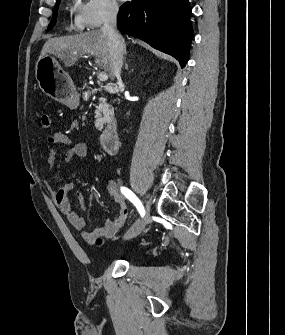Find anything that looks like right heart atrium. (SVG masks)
I'll return each mask as SVG.
<instances>
[{
	"label": "right heart atrium",
	"instance_id": "d8ad5b80",
	"mask_svg": "<svg viewBox=\"0 0 285 335\" xmlns=\"http://www.w3.org/2000/svg\"><path fill=\"white\" fill-rule=\"evenodd\" d=\"M118 1H86L79 10L77 19L88 29L96 30L114 21L120 13Z\"/></svg>",
	"mask_w": 285,
	"mask_h": 335
}]
</instances>
